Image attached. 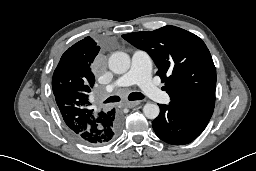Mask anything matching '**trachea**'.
Masks as SVG:
<instances>
[{
    "label": "trachea",
    "instance_id": "obj_1",
    "mask_svg": "<svg viewBox=\"0 0 256 171\" xmlns=\"http://www.w3.org/2000/svg\"><path fill=\"white\" fill-rule=\"evenodd\" d=\"M143 98H144V95L140 92H133V93H130L128 96V99L131 101L142 100ZM119 101H120L119 96H111L104 103L119 102Z\"/></svg>",
    "mask_w": 256,
    "mask_h": 171
}]
</instances>
